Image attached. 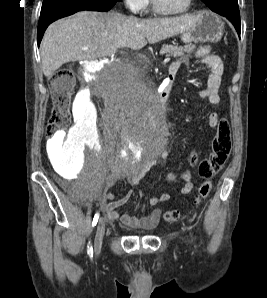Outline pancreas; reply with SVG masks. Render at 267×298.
Masks as SVG:
<instances>
[{"label":"pancreas","instance_id":"1","mask_svg":"<svg viewBox=\"0 0 267 298\" xmlns=\"http://www.w3.org/2000/svg\"><path fill=\"white\" fill-rule=\"evenodd\" d=\"M192 47L189 45L185 46H177V45H167L164 44L161 48L160 53L161 54H167V56H173V57H181L183 56L186 52L192 51Z\"/></svg>","mask_w":267,"mask_h":298}]
</instances>
